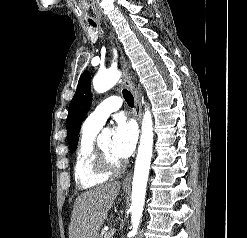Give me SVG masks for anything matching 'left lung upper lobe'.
<instances>
[{
    "mask_svg": "<svg viewBox=\"0 0 247 238\" xmlns=\"http://www.w3.org/2000/svg\"><path fill=\"white\" fill-rule=\"evenodd\" d=\"M91 101V76L88 72H84L79 79L67 117V138L71 153L77 148L80 124L89 110Z\"/></svg>",
    "mask_w": 247,
    "mask_h": 238,
    "instance_id": "left-lung-upper-lobe-1",
    "label": "left lung upper lobe"
}]
</instances>
